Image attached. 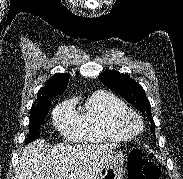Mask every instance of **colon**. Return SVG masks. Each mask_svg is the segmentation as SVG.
I'll list each match as a JSON object with an SVG mask.
<instances>
[{"instance_id": "5ec220e1", "label": "colon", "mask_w": 183, "mask_h": 179, "mask_svg": "<svg viewBox=\"0 0 183 179\" xmlns=\"http://www.w3.org/2000/svg\"><path fill=\"white\" fill-rule=\"evenodd\" d=\"M127 179H159L160 169L140 149H133L127 163Z\"/></svg>"}]
</instances>
